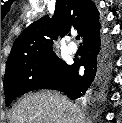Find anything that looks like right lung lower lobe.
<instances>
[{"instance_id":"98d812e1","label":"right lung lower lobe","mask_w":122,"mask_h":123,"mask_svg":"<svg viewBox=\"0 0 122 123\" xmlns=\"http://www.w3.org/2000/svg\"><path fill=\"white\" fill-rule=\"evenodd\" d=\"M100 29L89 35L84 41V55L81 60L70 65L67 72L42 89H54L64 92L70 99L75 100L93 90L102 87L107 82L105 67L97 65V56L101 50ZM79 66L85 67L83 76L78 74Z\"/></svg>"}]
</instances>
